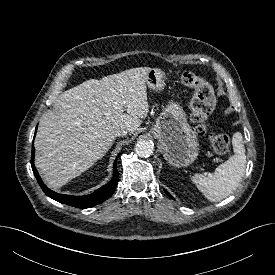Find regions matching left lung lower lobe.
<instances>
[{"instance_id": "0a47b994", "label": "left lung lower lobe", "mask_w": 275, "mask_h": 275, "mask_svg": "<svg viewBox=\"0 0 275 275\" xmlns=\"http://www.w3.org/2000/svg\"><path fill=\"white\" fill-rule=\"evenodd\" d=\"M164 191L170 198H173L166 190H164Z\"/></svg>"}]
</instances>
